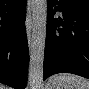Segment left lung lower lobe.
I'll use <instances>...</instances> for the list:
<instances>
[{
	"label": "left lung lower lobe",
	"mask_w": 89,
	"mask_h": 89,
	"mask_svg": "<svg viewBox=\"0 0 89 89\" xmlns=\"http://www.w3.org/2000/svg\"><path fill=\"white\" fill-rule=\"evenodd\" d=\"M57 11L63 19L53 17ZM46 37L53 45L45 47L43 80L57 73L89 78V1L47 0Z\"/></svg>",
	"instance_id": "0a47b994"
}]
</instances>
